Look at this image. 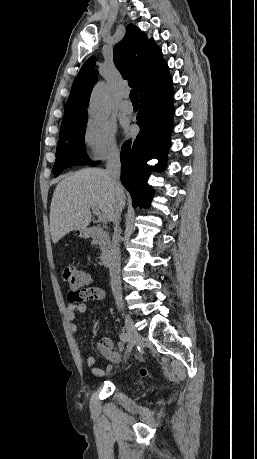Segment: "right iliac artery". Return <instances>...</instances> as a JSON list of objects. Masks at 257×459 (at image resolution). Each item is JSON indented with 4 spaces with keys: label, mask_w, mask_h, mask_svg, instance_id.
I'll use <instances>...</instances> for the list:
<instances>
[{
    "label": "right iliac artery",
    "mask_w": 257,
    "mask_h": 459,
    "mask_svg": "<svg viewBox=\"0 0 257 459\" xmlns=\"http://www.w3.org/2000/svg\"><path fill=\"white\" fill-rule=\"evenodd\" d=\"M120 340L123 342H128L129 341V335L126 332H122L120 334Z\"/></svg>",
    "instance_id": "right-iliac-artery-1"
}]
</instances>
